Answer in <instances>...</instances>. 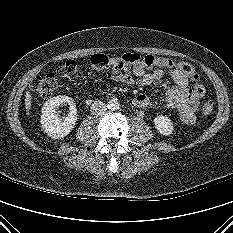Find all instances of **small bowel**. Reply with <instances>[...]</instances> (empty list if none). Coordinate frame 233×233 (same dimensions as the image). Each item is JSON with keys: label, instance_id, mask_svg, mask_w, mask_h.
I'll return each mask as SVG.
<instances>
[{"label": "small bowel", "instance_id": "c3829d8e", "mask_svg": "<svg viewBox=\"0 0 233 233\" xmlns=\"http://www.w3.org/2000/svg\"><path fill=\"white\" fill-rule=\"evenodd\" d=\"M112 78L126 85L147 86L169 78L171 86L165 93V107L175 110L181 121L187 125L195 122V111L201 97L194 94L188 87V76L178 69H154L141 64H119L113 63L111 66ZM134 105L138 108H147L151 105V100L147 95L139 94L134 99Z\"/></svg>", "mask_w": 233, "mask_h": 233}]
</instances>
